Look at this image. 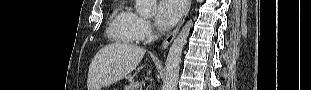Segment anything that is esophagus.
I'll use <instances>...</instances> for the list:
<instances>
[{
  "label": "esophagus",
  "mask_w": 311,
  "mask_h": 90,
  "mask_svg": "<svg viewBox=\"0 0 311 90\" xmlns=\"http://www.w3.org/2000/svg\"><path fill=\"white\" fill-rule=\"evenodd\" d=\"M190 6H191V0H186V6L185 9L183 11V14L179 20V23L177 24L176 28L165 38V40L163 41L162 45H161V51L165 50L169 44L173 41V39L175 38V36L177 35L180 27L182 26L189 10H190Z\"/></svg>",
  "instance_id": "obj_1"
}]
</instances>
